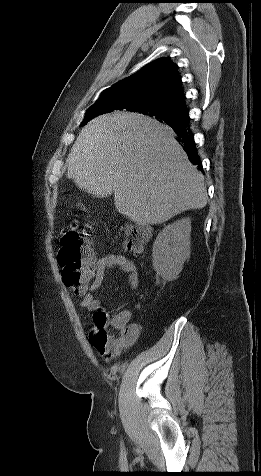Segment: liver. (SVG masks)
Returning a JSON list of instances; mask_svg holds the SVG:
<instances>
[{
	"label": "liver",
	"mask_w": 261,
	"mask_h": 476,
	"mask_svg": "<svg viewBox=\"0 0 261 476\" xmlns=\"http://www.w3.org/2000/svg\"><path fill=\"white\" fill-rule=\"evenodd\" d=\"M67 177L97 197L114 193L117 211L138 225H154L207 204L204 176L173 131L137 113L91 120L67 159Z\"/></svg>",
	"instance_id": "1"
}]
</instances>
